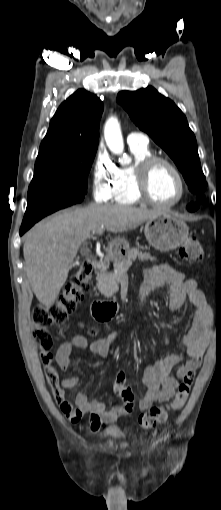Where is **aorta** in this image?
<instances>
[{
	"mask_svg": "<svg viewBox=\"0 0 221 510\" xmlns=\"http://www.w3.org/2000/svg\"><path fill=\"white\" fill-rule=\"evenodd\" d=\"M104 138L109 150L117 155H123L120 159L122 163H129L130 159L123 154L124 143L121 133V127L116 117H110L104 126Z\"/></svg>",
	"mask_w": 221,
	"mask_h": 510,
	"instance_id": "aorta-1",
	"label": "aorta"
}]
</instances>
